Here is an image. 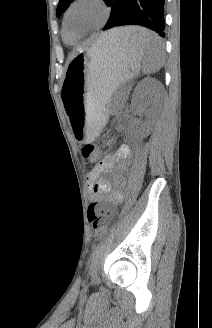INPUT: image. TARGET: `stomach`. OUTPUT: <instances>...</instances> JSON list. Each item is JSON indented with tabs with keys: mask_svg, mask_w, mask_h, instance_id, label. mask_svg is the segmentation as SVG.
I'll list each match as a JSON object with an SVG mask.
<instances>
[{
	"mask_svg": "<svg viewBox=\"0 0 212 328\" xmlns=\"http://www.w3.org/2000/svg\"><path fill=\"white\" fill-rule=\"evenodd\" d=\"M144 55L130 41L110 37L98 39L73 57L61 97L78 140L96 139L108 118L112 94L138 74Z\"/></svg>",
	"mask_w": 212,
	"mask_h": 328,
	"instance_id": "0dacf381",
	"label": "stomach"
}]
</instances>
